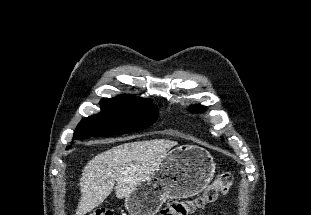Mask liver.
<instances>
[{"mask_svg": "<svg viewBox=\"0 0 311 215\" xmlns=\"http://www.w3.org/2000/svg\"><path fill=\"white\" fill-rule=\"evenodd\" d=\"M177 144L168 139L128 142L96 155L82 171L76 215H85L101 205L113 188L117 198L128 197Z\"/></svg>", "mask_w": 311, "mask_h": 215, "instance_id": "obj_1", "label": "liver"}]
</instances>
